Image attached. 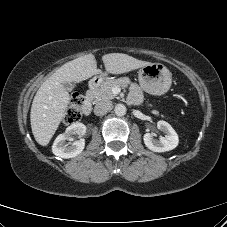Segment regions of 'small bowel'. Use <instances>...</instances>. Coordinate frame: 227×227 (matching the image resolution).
<instances>
[{"instance_id":"1","label":"small bowel","mask_w":227,"mask_h":227,"mask_svg":"<svg viewBox=\"0 0 227 227\" xmlns=\"http://www.w3.org/2000/svg\"><path fill=\"white\" fill-rule=\"evenodd\" d=\"M130 99L135 103H138L141 100V92L136 85L132 87Z\"/></svg>"}]
</instances>
